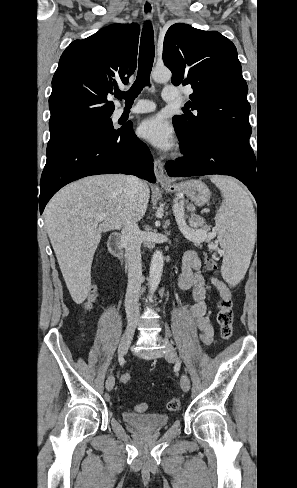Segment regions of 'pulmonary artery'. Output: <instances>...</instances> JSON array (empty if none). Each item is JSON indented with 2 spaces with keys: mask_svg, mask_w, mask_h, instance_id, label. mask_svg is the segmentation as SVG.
Here are the masks:
<instances>
[{
  "mask_svg": "<svg viewBox=\"0 0 297 488\" xmlns=\"http://www.w3.org/2000/svg\"><path fill=\"white\" fill-rule=\"evenodd\" d=\"M163 99L167 102H172L175 101L178 97V92L175 88L166 86L163 89L162 93ZM155 110V105L151 101L147 100H142L140 101L137 105L133 106L131 109H129L128 114L133 115V114H142V113H148L152 112ZM124 110L121 109L119 111V115L123 114Z\"/></svg>",
  "mask_w": 297,
  "mask_h": 488,
  "instance_id": "pulmonary-artery-1",
  "label": "pulmonary artery"
}]
</instances>
